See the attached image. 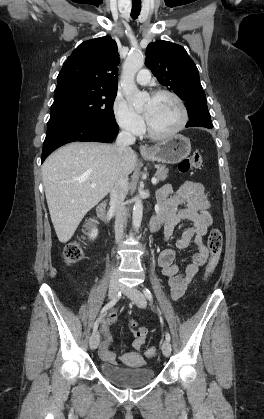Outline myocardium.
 <instances>
[{
  "mask_svg": "<svg viewBox=\"0 0 264 419\" xmlns=\"http://www.w3.org/2000/svg\"><path fill=\"white\" fill-rule=\"evenodd\" d=\"M160 96H169L177 103V105L180 109L181 118H180V121H179L178 125L174 129H172V130H170L166 133L155 132L150 127L148 121H146V131H147L149 137H151L152 139H155V140H165V139H169V138L175 136L185 127V125L187 124V121H188L187 108H186L183 100L176 93H174L173 91H170V90L162 89V90L154 91L152 93L151 98H157V97H160Z\"/></svg>",
  "mask_w": 264,
  "mask_h": 419,
  "instance_id": "f54148a6",
  "label": "myocardium"
}]
</instances>
